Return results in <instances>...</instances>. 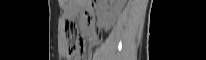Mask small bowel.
Segmentation results:
<instances>
[{
  "instance_id": "obj_1",
  "label": "small bowel",
  "mask_w": 206,
  "mask_h": 60,
  "mask_svg": "<svg viewBox=\"0 0 206 60\" xmlns=\"http://www.w3.org/2000/svg\"><path fill=\"white\" fill-rule=\"evenodd\" d=\"M87 18L90 19V16L87 15ZM75 60H81V58H80L79 56H77V57L75 58Z\"/></svg>"
}]
</instances>
